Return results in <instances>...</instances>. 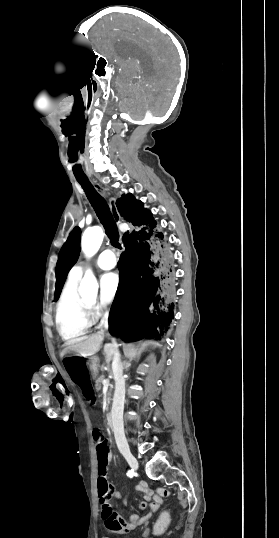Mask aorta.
<instances>
[{"mask_svg": "<svg viewBox=\"0 0 279 538\" xmlns=\"http://www.w3.org/2000/svg\"><path fill=\"white\" fill-rule=\"evenodd\" d=\"M104 233L101 227L94 226L85 230L81 239V248L87 258L92 257L99 250ZM98 292V283L92 271L88 269L80 283L79 293L84 298H95Z\"/></svg>", "mask_w": 279, "mask_h": 538, "instance_id": "aorta-1", "label": "aorta"}]
</instances>
